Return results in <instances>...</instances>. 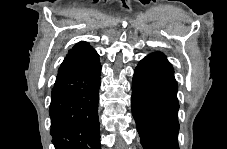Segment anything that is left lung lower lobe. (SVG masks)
<instances>
[{
  "label": "left lung lower lobe",
  "instance_id": "left-lung-lower-lobe-1",
  "mask_svg": "<svg viewBox=\"0 0 227 149\" xmlns=\"http://www.w3.org/2000/svg\"><path fill=\"white\" fill-rule=\"evenodd\" d=\"M178 85L161 52L151 53L135 69L132 114L144 149H179Z\"/></svg>",
  "mask_w": 227,
  "mask_h": 149
}]
</instances>
